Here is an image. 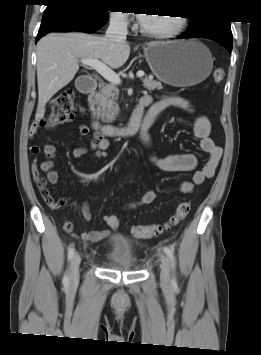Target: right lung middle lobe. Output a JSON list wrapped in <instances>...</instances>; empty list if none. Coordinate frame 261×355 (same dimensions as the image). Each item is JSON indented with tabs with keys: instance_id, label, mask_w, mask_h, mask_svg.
<instances>
[{
	"instance_id": "dd1d6c3e",
	"label": "right lung middle lobe",
	"mask_w": 261,
	"mask_h": 355,
	"mask_svg": "<svg viewBox=\"0 0 261 355\" xmlns=\"http://www.w3.org/2000/svg\"><path fill=\"white\" fill-rule=\"evenodd\" d=\"M79 5L84 6L85 8L89 9L92 13L99 16H108V12L104 9L98 0H84L78 2Z\"/></svg>"
}]
</instances>
